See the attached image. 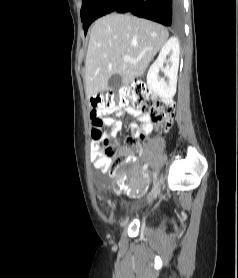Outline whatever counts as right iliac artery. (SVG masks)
Listing matches in <instances>:
<instances>
[{"label": "right iliac artery", "mask_w": 238, "mask_h": 278, "mask_svg": "<svg viewBox=\"0 0 238 278\" xmlns=\"http://www.w3.org/2000/svg\"><path fill=\"white\" fill-rule=\"evenodd\" d=\"M148 168V164H144V166L142 167V170H146Z\"/></svg>", "instance_id": "right-iliac-artery-1"}]
</instances>
